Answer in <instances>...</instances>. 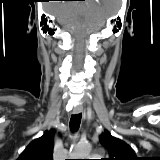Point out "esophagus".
<instances>
[{
	"instance_id": "obj_1",
	"label": "esophagus",
	"mask_w": 160,
	"mask_h": 160,
	"mask_svg": "<svg viewBox=\"0 0 160 160\" xmlns=\"http://www.w3.org/2000/svg\"><path fill=\"white\" fill-rule=\"evenodd\" d=\"M83 111L81 106H77L73 108V114H80Z\"/></svg>"
}]
</instances>
